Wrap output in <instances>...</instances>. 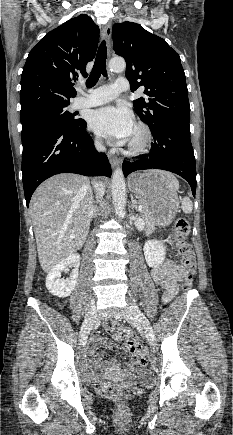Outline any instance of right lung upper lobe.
Segmentation results:
<instances>
[{
	"label": "right lung upper lobe",
	"instance_id": "1",
	"mask_svg": "<svg viewBox=\"0 0 233 435\" xmlns=\"http://www.w3.org/2000/svg\"><path fill=\"white\" fill-rule=\"evenodd\" d=\"M99 28L86 14L47 33L30 51L21 76L20 116L69 105L73 81L87 77L85 67L96 54Z\"/></svg>",
	"mask_w": 233,
	"mask_h": 435
}]
</instances>
